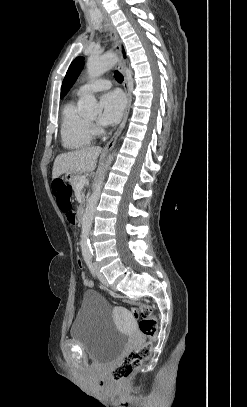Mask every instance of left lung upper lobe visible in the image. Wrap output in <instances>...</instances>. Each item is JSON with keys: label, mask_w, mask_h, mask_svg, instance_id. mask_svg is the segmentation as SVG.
Here are the masks:
<instances>
[{"label": "left lung upper lobe", "mask_w": 247, "mask_h": 407, "mask_svg": "<svg viewBox=\"0 0 247 407\" xmlns=\"http://www.w3.org/2000/svg\"><path fill=\"white\" fill-rule=\"evenodd\" d=\"M84 66V58L83 57H77L76 59L73 60L71 65L69 66V69L66 73V76L63 80L62 87H61V98H63L69 89L72 87V85L75 83L76 79L78 78L81 70L83 69Z\"/></svg>", "instance_id": "1"}]
</instances>
